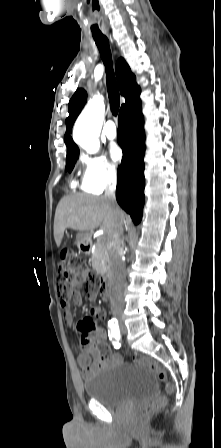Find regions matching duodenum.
<instances>
[{"label": "duodenum", "instance_id": "410a0bca", "mask_svg": "<svg viewBox=\"0 0 221 448\" xmlns=\"http://www.w3.org/2000/svg\"><path fill=\"white\" fill-rule=\"evenodd\" d=\"M90 245H91V240H90V238L86 237V238L83 239V241L81 243V249L84 252L89 253ZM98 287H99L100 293L103 296H107L108 295L109 288H110V274H109V272H106V273H103V274L99 275Z\"/></svg>", "mask_w": 221, "mask_h": 448}]
</instances>
